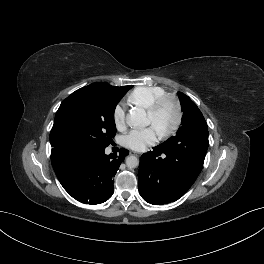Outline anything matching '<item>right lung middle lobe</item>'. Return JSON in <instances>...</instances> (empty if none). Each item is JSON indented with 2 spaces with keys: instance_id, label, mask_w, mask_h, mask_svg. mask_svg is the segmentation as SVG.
I'll use <instances>...</instances> for the list:
<instances>
[{
  "instance_id": "1",
  "label": "right lung middle lobe",
  "mask_w": 264,
  "mask_h": 264,
  "mask_svg": "<svg viewBox=\"0 0 264 264\" xmlns=\"http://www.w3.org/2000/svg\"><path fill=\"white\" fill-rule=\"evenodd\" d=\"M131 88L94 83L73 92L56 113L50 133L53 149L106 148L116 134L115 107Z\"/></svg>"
}]
</instances>
